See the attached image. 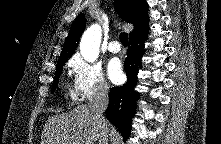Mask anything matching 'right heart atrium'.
Returning a JSON list of instances; mask_svg holds the SVG:
<instances>
[{"mask_svg":"<svg viewBox=\"0 0 221 144\" xmlns=\"http://www.w3.org/2000/svg\"><path fill=\"white\" fill-rule=\"evenodd\" d=\"M70 67L74 74L75 95L79 100L87 101L108 94L109 85L99 64L75 56Z\"/></svg>","mask_w":221,"mask_h":144,"instance_id":"obj_1","label":"right heart atrium"}]
</instances>
